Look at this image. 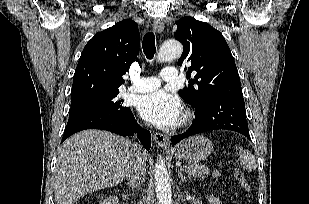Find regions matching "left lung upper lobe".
<instances>
[{
	"label": "left lung upper lobe",
	"instance_id": "1",
	"mask_svg": "<svg viewBox=\"0 0 309 204\" xmlns=\"http://www.w3.org/2000/svg\"><path fill=\"white\" fill-rule=\"evenodd\" d=\"M176 24L174 37L183 44L178 64H191L187 75L195 73L188 88L179 91L180 97L195 110L216 99L243 98L238 70L223 35L190 16Z\"/></svg>",
	"mask_w": 309,
	"mask_h": 204
}]
</instances>
